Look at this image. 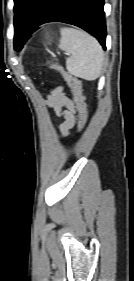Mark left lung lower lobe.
Listing matches in <instances>:
<instances>
[{
  "label": "left lung lower lobe",
  "mask_w": 134,
  "mask_h": 281,
  "mask_svg": "<svg viewBox=\"0 0 134 281\" xmlns=\"http://www.w3.org/2000/svg\"><path fill=\"white\" fill-rule=\"evenodd\" d=\"M103 5L104 0H42L25 29L15 31L14 47L17 49L18 45H23L38 26L59 21L88 31L106 49Z\"/></svg>",
  "instance_id": "left-lung-lower-lobe-1"
}]
</instances>
